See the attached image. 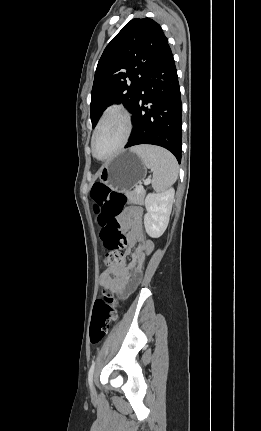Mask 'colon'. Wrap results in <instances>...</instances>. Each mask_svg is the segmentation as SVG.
<instances>
[{
    "instance_id": "colon-1",
    "label": "colon",
    "mask_w": 261,
    "mask_h": 431,
    "mask_svg": "<svg viewBox=\"0 0 261 431\" xmlns=\"http://www.w3.org/2000/svg\"><path fill=\"white\" fill-rule=\"evenodd\" d=\"M90 197L98 213V221L101 226L100 238L107 250L106 262L109 265L120 264L123 260L122 249L125 247L126 239L117 221V216L127 204L126 196L98 182L92 186ZM118 303V298L110 292H105L95 302L90 324L92 344L100 343L108 334L111 323L117 318Z\"/></svg>"
}]
</instances>
